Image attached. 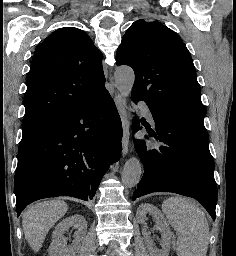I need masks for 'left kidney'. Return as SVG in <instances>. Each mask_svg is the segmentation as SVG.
Masks as SVG:
<instances>
[{
    "label": "left kidney",
    "instance_id": "obj_1",
    "mask_svg": "<svg viewBox=\"0 0 236 256\" xmlns=\"http://www.w3.org/2000/svg\"><path fill=\"white\" fill-rule=\"evenodd\" d=\"M146 214H151L162 236V244H161L162 250H156L154 242H152L149 234H147L144 228L143 236H144L146 248L150 256H169L171 234L164 220L163 214H161L158 208H155V206H152V204H141V206H139L136 212V220L138 224H144L145 226V222L147 220Z\"/></svg>",
    "mask_w": 236,
    "mask_h": 256
}]
</instances>
